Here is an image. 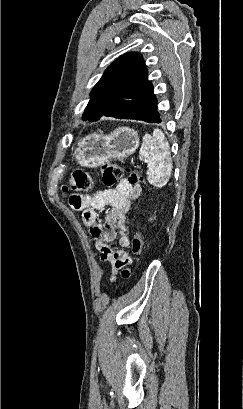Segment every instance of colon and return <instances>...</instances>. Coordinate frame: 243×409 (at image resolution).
<instances>
[{
  "instance_id": "5ec220e1",
  "label": "colon",
  "mask_w": 243,
  "mask_h": 409,
  "mask_svg": "<svg viewBox=\"0 0 243 409\" xmlns=\"http://www.w3.org/2000/svg\"><path fill=\"white\" fill-rule=\"evenodd\" d=\"M127 181L131 185H138L142 181L141 175L137 171L127 170ZM125 170L114 163H104L100 167V175L104 184L108 187L115 186L124 176ZM93 185V179L89 172L84 170H75L71 174L68 184L63 187V191L71 189L76 192H85L91 189ZM75 202L70 197V204ZM143 237L140 232H137L131 241V251L134 256V261L131 266L124 267L121 270V276L124 279L131 277L132 268L137 265L141 259L143 250Z\"/></svg>"
}]
</instances>
